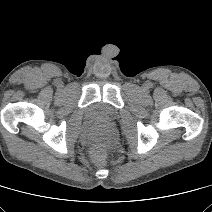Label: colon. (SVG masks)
<instances>
[{"mask_svg":"<svg viewBox=\"0 0 212 212\" xmlns=\"http://www.w3.org/2000/svg\"><path fill=\"white\" fill-rule=\"evenodd\" d=\"M105 149H106L105 142L102 140H99L92 145L93 153L99 157H101L104 154Z\"/></svg>","mask_w":212,"mask_h":212,"instance_id":"obj_1","label":"colon"}]
</instances>
